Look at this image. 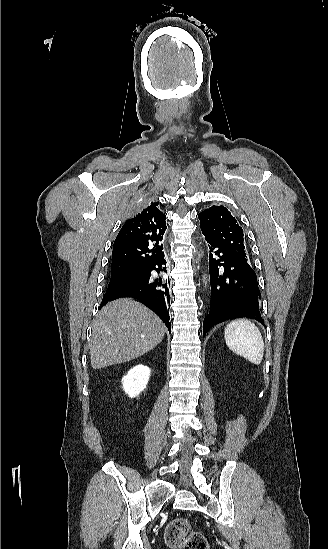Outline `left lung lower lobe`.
<instances>
[{"instance_id": "obj_1", "label": "left lung lower lobe", "mask_w": 328, "mask_h": 549, "mask_svg": "<svg viewBox=\"0 0 328 549\" xmlns=\"http://www.w3.org/2000/svg\"><path fill=\"white\" fill-rule=\"evenodd\" d=\"M209 245L211 302L203 322V335L228 319L250 318L264 325L259 311L260 292L253 269L240 258ZM217 256V258H215Z\"/></svg>"}]
</instances>
